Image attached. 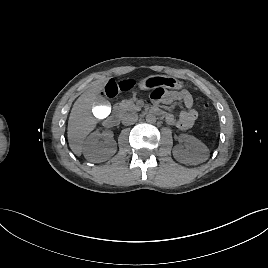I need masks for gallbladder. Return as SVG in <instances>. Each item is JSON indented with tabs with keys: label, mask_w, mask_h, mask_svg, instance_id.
Listing matches in <instances>:
<instances>
[{
	"label": "gallbladder",
	"mask_w": 268,
	"mask_h": 268,
	"mask_svg": "<svg viewBox=\"0 0 268 268\" xmlns=\"http://www.w3.org/2000/svg\"><path fill=\"white\" fill-rule=\"evenodd\" d=\"M91 112L96 119L104 120L111 115L112 107L107 100L99 99L92 104Z\"/></svg>",
	"instance_id": "bac80fb5"
}]
</instances>
